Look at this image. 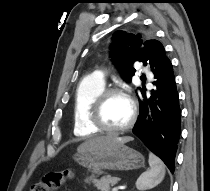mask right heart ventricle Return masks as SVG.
Wrapping results in <instances>:
<instances>
[{"label":"right heart ventricle","mask_w":210,"mask_h":191,"mask_svg":"<svg viewBox=\"0 0 210 191\" xmlns=\"http://www.w3.org/2000/svg\"><path fill=\"white\" fill-rule=\"evenodd\" d=\"M105 89V84L91 78L83 79L76 90L74 103L73 131L76 136L89 137L99 132L88 120L94 98Z\"/></svg>","instance_id":"1"}]
</instances>
